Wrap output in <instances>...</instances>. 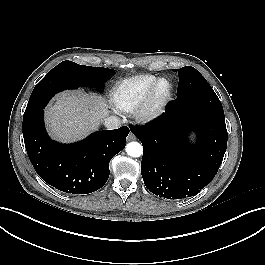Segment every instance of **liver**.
Masks as SVG:
<instances>
[{"mask_svg":"<svg viewBox=\"0 0 265 265\" xmlns=\"http://www.w3.org/2000/svg\"><path fill=\"white\" fill-rule=\"evenodd\" d=\"M108 114V104L101 96L63 92L46 109V123L53 139L73 142L97 130Z\"/></svg>","mask_w":265,"mask_h":265,"instance_id":"1","label":"liver"}]
</instances>
